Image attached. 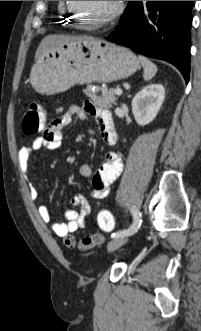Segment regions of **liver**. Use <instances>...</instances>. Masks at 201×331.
<instances>
[{
  "mask_svg": "<svg viewBox=\"0 0 201 331\" xmlns=\"http://www.w3.org/2000/svg\"><path fill=\"white\" fill-rule=\"evenodd\" d=\"M82 39H88L86 36H65V35H48L39 44L35 59H38L43 53L48 51L50 48L65 42L77 41Z\"/></svg>",
  "mask_w": 201,
  "mask_h": 331,
  "instance_id": "6515ba94",
  "label": "liver"
}]
</instances>
